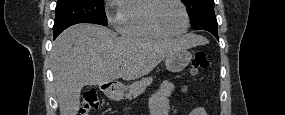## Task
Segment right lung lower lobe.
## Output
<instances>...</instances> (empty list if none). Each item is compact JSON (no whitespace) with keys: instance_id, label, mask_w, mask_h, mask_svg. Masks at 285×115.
Here are the masks:
<instances>
[{"instance_id":"obj_1","label":"right lung lower lobe","mask_w":285,"mask_h":115,"mask_svg":"<svg viewBox=\"0 0 285 115\" xmlns=\"http://www.w3.org/2000/svg\"><path fill=\"white\" fill-rule=\"evenodd\" d=\"M63 30L54 32V39L62 32Z\"/></svg>"}]
</instances>
